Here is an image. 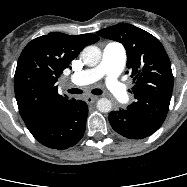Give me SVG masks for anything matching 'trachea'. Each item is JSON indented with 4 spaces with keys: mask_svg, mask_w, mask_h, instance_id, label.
Instances as JSON below:
<instances>
[{
    "mask_svg": "<svg viewBox=\"0 0 187 187\" xmlns=\"http://www.w3.org/2000/svg\"><path fill=\"white\" fill-rule=\"evenodd\" d=\"M68 92L70 94H81V93H83V91L78 89V88L69 89ZM91 92L94 95H101L103 93V91L101 89H93Z\"/></svg>",
    "mask_w": 187,
    "mask_h": 187,
    "instance_id": "3493384b",
    "label": "trachea"
}]
</instances>
